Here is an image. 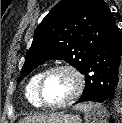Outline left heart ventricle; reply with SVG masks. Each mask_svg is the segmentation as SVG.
<instances>
[{"label": "left heart ventricle", "mask_w": 122, "mask_h": 123, "mask_svg": "<svg viewBox=\"0 0 122 123\" xmlns=\"http://www.w3.org/2000/svg\"><path fill=\"white\" fill-rule=\"evenodd\" d=\"M75 88V79L67 71H55L48 75L43 86L44 99L58 103L69 97Z\"/></svg>", "instance_id": "left-heart-ventricle-1"}]
</instances>
